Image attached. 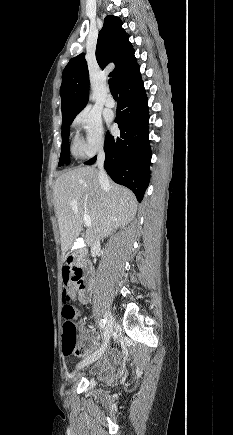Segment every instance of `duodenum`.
<instances>
[{
    "mask_svg": "<svg viewBox=\"0 0 233 435\" xmlns=\"http://www.w3.org/2000/svg\"><path fill=\"white\" fill-rule=\"evenodd\" d=\"M68 264L73 274L78 278L76 283V289L78 291L79 300L86 304L89 301V297L86 293V286L83 282V277L90 272V266L85 260L84 251L79 250L71 253L68 256Z\"/></svg>",
    "mask_w": 233,
    "mask_h": 435,
    "instance_id": "obj_1",
    "label": "duodenum"
}]
</instances>
